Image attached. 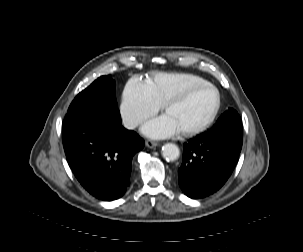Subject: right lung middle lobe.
<instances>
[{
  "mask_svg": "<svg viewBox=\"0 0 303 252\" xmlns=\"http://www.w3.org/2000/svg\"><path fill=\"white\" fill-rule=\"evenodd\" d=\"M103 106H110L118 111L115 98V81L111 75L98 78L80 92L71 103L67 115L86 108Z\"/></svg>",
  "mask_w": 303,
  "mask_h": 252,
  "instance_id": "1",
  "label": "right lung middle lobe"
}]
</instances>
